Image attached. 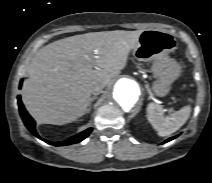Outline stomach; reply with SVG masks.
I'll use <instances>...</instances> for the list:
<instances>
[{
	"mask_svg": "<svg viewBox=\"0 0 212 183\" xmlns=\"http://www.w3.org/2000/svg\"><path fill=\"white\" fill-rule=\"evenodd\" d=\"M176 48L177 41L174 35L158 29L144 30L133 48L137 60L152 62L151 71L156 77L152 88L159 97L168 95L172 83L180 76L179 63L169 57Z\"/></svg>",
	"mask_w": 212,
	"mask_h": 183,
	"instance_id": "obj_1",
	"label": "stomach"
}]
</instances>
